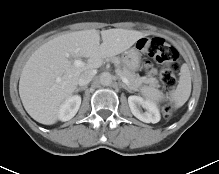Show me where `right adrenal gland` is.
<instances>
[{
	"instance_id": "1",
	"label": "right adrenal gland",
	"mask_w": 219,
	"mask_h": 174,
	"mask_svg": "<svg viewBox=\"0 0 219 174\" xmlns=\"http://www.w3.org/2000/svg\"><path fill=\"white\" fill-rule=\"evenodd\" d=\"M86 88H87V86L78 87V88H76V92L85 90Z\"/></svg>"
}]
</instances>
